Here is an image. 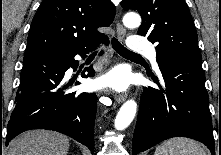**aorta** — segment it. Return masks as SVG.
Instances as JSON below:
<instances>
[{"instance_id":"obj_1","label":"aorta","mask_w":221,"mask_h":155,"mask_svg":"<svg viewBox=\"0 0 221 155\" xmlns=\"http://www.w3.org/2000/svg\"><path fill=\"white\" fill-rule=\"evenodd\" d=\"M123 23L128 28H136L141 24V17L134 12L127 13L123 18ZM137 111V104L135 100H127L120 108L115 119V128L117 130H124L133 121Z\"/></svg>"}]
</instances>
